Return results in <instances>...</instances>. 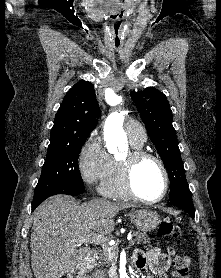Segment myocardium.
Listing matches in <instances>:
<instances>
[{"label":"myocardium","instance_id":"myocardium-1","mask_svg":"<svg viewBox=\"0 0 221 278\" xmlns=\"http://www.w3.org/2000/svg\"><path fill=\"white\" fill-rule=\"evenodd\" d=\"M145 159H151L157 163L164 178V188L160 196L154 199L146 198L140 195L134 185L133 182V171L136 165ZM117 168H118V175L120 183L124 189V191L129 195V197L144 202V203H158L162 201L168 193L170 179L168 170L163 163V161L154 153L143 149H131L127 152L124 159H117Z\"/></svg>","mask_w":221,"mask_h":278}]
</instances>
